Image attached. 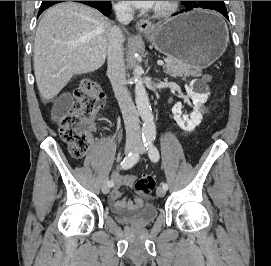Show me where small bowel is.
<instances>
[{
    "label": "small bowel",
    "instance_id": "small-bowel-1",
    "mask_svg": "<svg viewBox=\"0 0 271 266\" xmlns=\"http://www.w3.org/2000/svg\"><path fill=\"white\" fill-rule=\"evenodd\" d=\"M72 101V97L65 93L60 95L54 103L53 107V118L55 120L59 119L61 115L66 112L69 108L70 103ZM115 186L110 194V202L112 207L116 211H122L124 209L128 210H138L144 206V195L135 196L131 199L123 198V187L131 186L135 180V175H122V174H114Z\"/></svg>",
    "mask_w": 271,
    "mask_h": 266
}]
</instances>
